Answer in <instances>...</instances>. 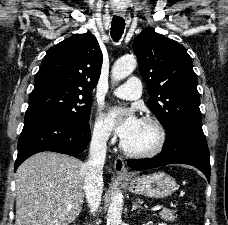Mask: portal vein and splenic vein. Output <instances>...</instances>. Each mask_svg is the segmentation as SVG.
I'll return each instance as SVG.
<instances>
[{
	"instance_id": "18ae733b",
	"label": "portal vein and splenic vein",
	"mask_w": 228,
	"mask_h": 225,
	"mask_svg": "<svg viewBox=\"0 0 228 225\" xmlns=\"http://www.w3.org/2000/svg\"><path fill=\"white\" fill-rule=\"evenodd\" d=\"M179 204H180L179 200H173L172 202L169 203V206L177 207ZM163 208H164L163 204H156V206L154 207V209H152V211H159V209H163ZM67 209H71V205H68Z\"/></svg>"
}]
</instances>
